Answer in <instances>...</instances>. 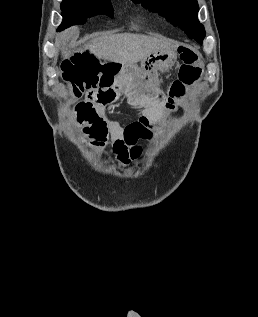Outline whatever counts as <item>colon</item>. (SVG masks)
Listing matches in <instances>:
<instances>
[{"label": "colon", "mask_w": 258, "mask_h": 317, "mask_svg": "<svg viewBox=\"0 0 258 317\" xmlns=\"http://www.w3.org/2000/svg\"><path fill=\"white\" fill-rule=\"evenodd\" d=\"M182 65L178 79L173 83L167 107L175 110L176 103L184 95L186 88L194 84L201 76L203 65L199 53L190 47L180 50ZM121 65L113 61H102L95 53L93 46H86L74 52L62 64V78L71 87L72 95L80 98L82 95L98 86H101L118 75ZM130 96L135 98V91L130 90Z\"/></svg>", "instance_id": "1"}]
</instances>
